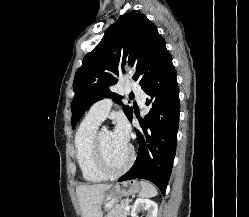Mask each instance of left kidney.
Segmentation results:
<instances>
[{
    "mask_svg": "<svg viewBox=\"0 0 249 217\" xmlns=\"http://www.w3.org/2000/svg\"><path fill=\"white\" fill-rule=\"evenodd\" d=\"M141 210L146 211V217H157L158 206L153 200L138 198L132 207L131 217H138Z\"/></svg>",
    "mask_w": 249,
    "mask_h": 217,
    "instance_id": "left-kidney-1",
    "label": "left kidney"
}]
</instances>
